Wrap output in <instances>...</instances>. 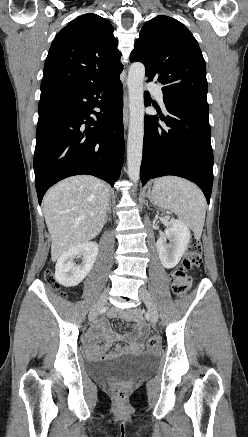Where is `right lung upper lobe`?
<instances>
[{"mask_svg": "<svg viewBox=\"0 0 248 437\" xmlns=\"http://www.w3.org/2000/svg\"><path fill=\"white\" fill-rule=\"evenodd\" d=\"M111 23L89 13L68 23L54 38L45 61L41 91L99 85L122 72Z\"/></svg>", "mask_w": 248, "mask_h": 437, "instance_id": "obj_1", "label": "right lung upper lobe"}]
</instances>
